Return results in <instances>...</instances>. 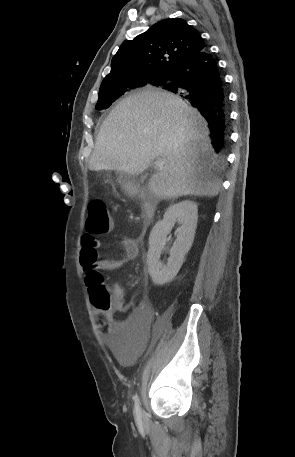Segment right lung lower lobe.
<instances>
[{"label":"right lung lower lobe","instance_id":"1","mask_svg":"<svg viewBox=\"0 0 295 457\" xmlns=\"http://www.w3.org/2000/svg\"><path fill=\"white\" fill-rule=\"evenodd\" d=\"M189 100L212 129V145L223 153L227 143L228 98L223 78L213 56L203 49L184 62L166 88Z\"/></svg>","mask_w":295,"mask_h":457}]
</instances>
